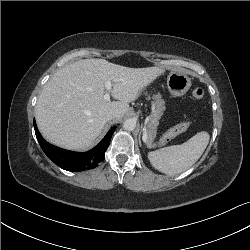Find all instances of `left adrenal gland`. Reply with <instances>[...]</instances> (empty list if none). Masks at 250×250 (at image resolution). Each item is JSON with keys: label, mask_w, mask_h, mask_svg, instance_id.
<instances>
[{"label": "left adrenal gland", "mask_w": 250, "mask_h": 250, "mask_svg": "<svg viewBox=\"0 0 250 250\" xmlns=\"http://www.w3.org/2000/svg\"><path fill=\"white\" fill-rule=\"evenodd\" d=\"M146 132V129L143 127V133ZM139 142H140V134H139Z\"/></svg>", "instance_id": "obj_1"}]
</instances>
